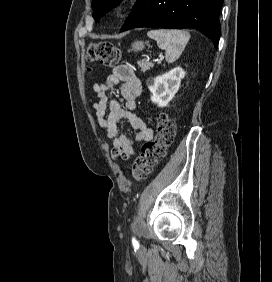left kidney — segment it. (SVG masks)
Here are the masks:
<instances>
[{
	"instance_id": "left-kidney-1",
	"label": "left kidney",
	"mask_w": 272,
	"mask_h": 282,
	"mask_svg": "<svg viewBox=\"0 0 272 282\" xmlns=\"http://www.w3.org/2000/svg\"><path fill=\"white\" fill-rule=\"evenodd\" d=\"M185 71L181 67H176L161 76L147 80V86L152 93L151 101L159 107H165L178 92L181 79L184 78Z\"/></svg>"
}]
</instances>
